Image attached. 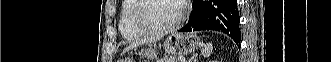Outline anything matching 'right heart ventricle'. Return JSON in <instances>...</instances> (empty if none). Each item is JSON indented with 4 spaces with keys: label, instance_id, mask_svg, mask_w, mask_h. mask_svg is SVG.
<instances>
[{
    "label": "right heart ventricle",
    "instance_id": "obj_1",
    "mask_svg": "<svg viewBox=\"0 0 331 62\" xmlns=\"http://www.w3.org/2000/svg\"><path fill=\"white\" fill-rule=\"evenodd\" d=\"M137 0H124L120 7L119 31L126 40H137L144 36L133 23V13Z\"/></svg>",
    "mask_w": 331,
    "mask_h": 62
}]
</instances>
